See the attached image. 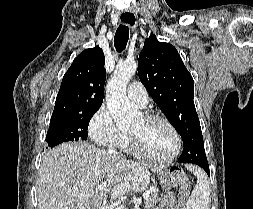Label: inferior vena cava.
Returning <instances> with one entry per match:
<instances>
[{"instance_id":"inferior-vena-cava-1","label":"inferior vena cava","mask_w":253,"mask_h":209,"mask_svg":"<svg viewBox=\"0 0 253 209\" xmlns=\"http://www.w3.org/2000/svg\"><path fill=\"white\" fill-rule=\"evenodd\" d=\"M107 153L113 158L121 159L122 155L116 150V148L109 146L107 149Z\"/></svg>"}]
</instances>
